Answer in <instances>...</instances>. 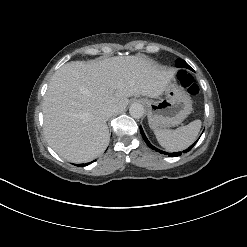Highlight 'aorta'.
I'll return each instance as SVG.
<instances>
[{"label": "aorta", "mask_w": 247, "mask_h": 247, "mask_svg": "<svg viewBox=\"0 0 247 247\" xmlns=\"http://www.w3.org/2000/svg\"><path fill=\"white\" fill-rule=\"evenodd\" d=\"M129 113L133 118H141L144 114V107L139 103H133L129 108Z\"/></svg>", "instance_id": "obj_1"}]
</instances>
